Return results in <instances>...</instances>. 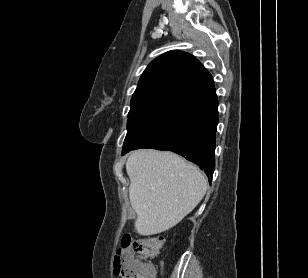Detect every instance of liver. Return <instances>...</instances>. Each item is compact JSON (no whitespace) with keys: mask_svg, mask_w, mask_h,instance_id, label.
I'll return each mask as SVG.
<instances>
[{"mask_svg":"<svg viewBox=\"0 0 308 278\" xmlns=\"http://www.w3.org/2000/svg\"><path fill=\"white\" fill-rule=\"evenodd\" d=\"M135 230L149 236L177 225L203 199L207 180L200 169L169 151H133L126 162Z\"/></svg>","mask_w":308,"mask_h":278,"instance_id":"liver-1","label":"liver"}]
</instances>
